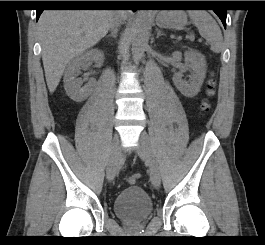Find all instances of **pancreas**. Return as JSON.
Returning <instances> with one entry per match:
<instances>
[{
	"mask_svg": "<svg viewBox=\"0 0 265 245\" xmlns=\"http://www.w3.org/2000/svg\"><path fill=\"white\" fill-rule=\"evenodd\" d=\"M189 38H190V40H194V37L193 36H190Z\"/></svg>",
	"mask_w": 265,
	"mask_h": 245,
	"instance_id": "1",
	"label": "pancreas"
}]
</instances>
